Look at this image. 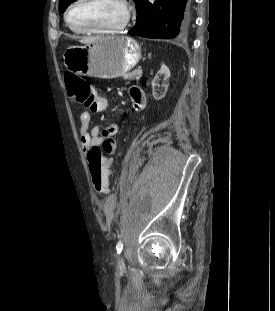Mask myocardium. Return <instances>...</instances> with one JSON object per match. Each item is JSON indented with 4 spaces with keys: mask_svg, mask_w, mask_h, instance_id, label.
<instances>
[{
    "mask_svg": "<svg viewBox=\"0 0 275 311\" xmlns=\"http://www.w3.org/2000/svg\"><path fill=\"white\" fill-rule=\"evenodd\" d=\"M82 0H74L66 9L65 15H64V20L67 24V26L74 32L77 33H89V34H115L123 31L129 24L130 19H131V7L128 3L127 0H118V2L122 5L124 9V18L122 22L115 27L111 28H99V29H89V28H78L74 27L70 21H69V15L71 10L74 8L75 5H77L79 2Z\"/></svg>",
    "mask_w": 275,
    "mask_h": 311,
    "instance_id": "myocardium-1",
    "label": "myocardium"
}]
</instances>
